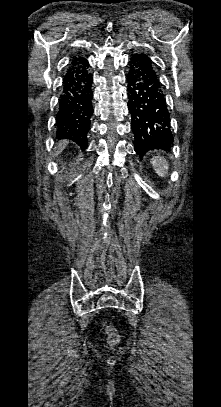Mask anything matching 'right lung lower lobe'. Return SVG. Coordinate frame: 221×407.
I'll return each instance as SVG.
<instances>
[{"label": "right lung lower lobe", "instance_id": "98d812e1", "mask_svg": "<svg viewBox=\"0 0 221 407\" xmlns=\"http://www.w3.org/2000/svg\"><path fill=\"white\" fill-rule=\"evenodd\" d=\"M92 83L87 59L74 57L63 78L56 125L59 139L73 140L82 149L88 145L87 133L93 113Z\"/></svg>", "mask_w": 221, "mask_h": 407}]
</instances>
